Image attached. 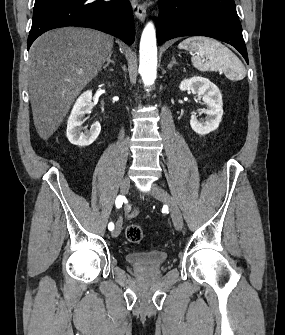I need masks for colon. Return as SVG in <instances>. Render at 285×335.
Returning <instances> with one entry per match:
<instances>
[{
  "label": "colon",
  "instance_id": "1",
  "mask_svg": "<svg viewBox=\"0 0 285 335\" xmlns=\"http://www.w3.org/2000/svg\"><path fill=\"white\" fill-rule=\"evenodd\" d=\"M125 237L130 243H139L143 238V230L137 224H130L126 227Z\"/></svg>",
  "mask_w": 285,
  "mask_h": 335
}]
</instances>
